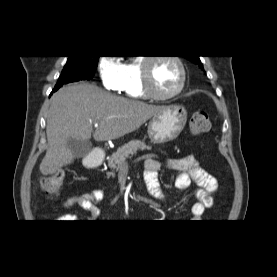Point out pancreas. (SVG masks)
<instances>
[{
	"instance_id": "cf45deb5",
	"label": "pancreas",
	"mask_w": 277,
	"mask_h": 277,
	"mask_svg": "<svg viewBox=\"0 0 277 277\" xmlns=\"http://www.w3.org/2000/svg\"><path fill=\"white\" fill-rule=\"evenodd\" d=\"M150 150L151 147L147 146L143 141L140 140H132L119 148L117 152L112 154V156L108 160L109 168L113 170H118L121 166H123L127 160L132 155L137 154L138 150ZM108 175H113L112 173H108Z\"/></svg>"
}]
</instances>
